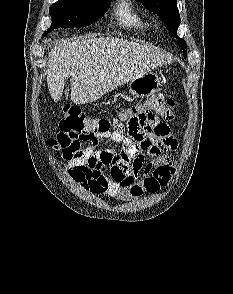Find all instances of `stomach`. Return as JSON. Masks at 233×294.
<instances>
[{
  "label": "stomach",
  "instance_id": "1",
  "mask_svg": "<svg viewBox=\"0 0 233 294\" xmlns=\"http://www.w3.org/2000/svg\"><path fill=\"white\" fill-rule=\"evenodd\" d=\"M129 91L134 97H149L160 90V78L153 72H148L129 82Z\"/></svg>",
  "mask_w": 233,
  "mask_h": 294
}]
</instances>
